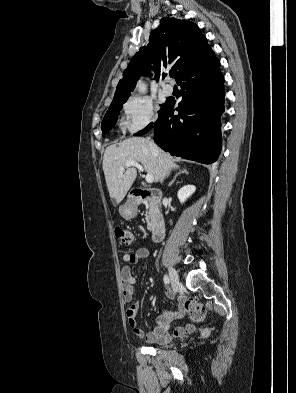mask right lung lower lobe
<instances>
[{
	"mask_svg": "<svg viewBox=\"0 0 296 393\" xmlns=\"http://www.w3.org/2000/svg\"><path fill=\"white\" fill-rule=\"evenodd\" d=\"M182 100L168 98L154 124V141L171 155L205 164L217 160L221 151L220 116L224 112V77L220 62L209 47L177 79ZM153 124L135 135L147 133Z\"/></svg>",
	"mask_w": 296,
	"mask_h": 393,
	"instance_id": "obj_1",
	"label": "right lung lower lobe"
}]
</instances>
